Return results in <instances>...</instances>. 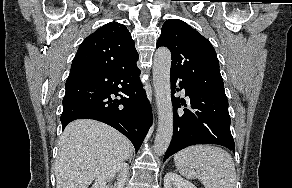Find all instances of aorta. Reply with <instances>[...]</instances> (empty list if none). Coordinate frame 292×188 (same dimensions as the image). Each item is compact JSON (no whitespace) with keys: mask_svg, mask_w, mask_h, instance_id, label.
Here are the masks:
<instances>
[{"mask_svg":"<svg viewBox=\"0 0 292 188\" xmlns=\"http://www.w3.org/2000/svg\"><path fill=\"white\" fill-rule=\"evenodd\" d=\"M171 52L166 47L156 50L153 63V84L158 108V128L154 152L163 155L173 135V106L170 85Z\"/></svg>","mask_w":292,"mask_h":188,"instance_id":"762f6f07","label":"aorta"}]
</instances>
